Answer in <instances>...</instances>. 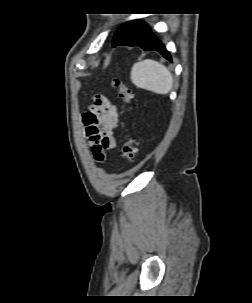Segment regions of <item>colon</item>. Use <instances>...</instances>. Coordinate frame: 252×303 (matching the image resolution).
Here are the masks:
<instances>
[{"mask_svg": "<svg viewBox=\"0 0 252 303\" xmlns=\"http://www.w3.org/2000/svg\"><path fill=\"white\" fill-rule=\"evenodd\" d=\"M112 86L118 90V96L121 101L128 105H132L133 92L121 78L113 77ZM121 152L129 163H133L136 159L135 141L131 138L125 140Z\"/></svg>", "mask_w": 252, "mask_h": 303, "instance_id": "colon-1", "label": "colon"}]
</instances>
